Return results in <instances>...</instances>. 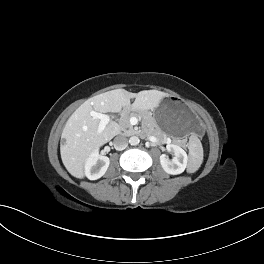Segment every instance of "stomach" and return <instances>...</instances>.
<instances>
[{
	"instance_id": "obj_1",
	"label": "stomach",
	"mask_w": 264,
	"mask_h": 264,
	"mask_svg": "<svg viewBox=\"0 0 264 264\" xmlns=\"http://www.w3.org/2000/svg\"><path fill=\"white\" fill-rule=\"evenodd\" d=\"M153 120L157 127L168 134L201 136L205 125L195 117L190 108L176 97L165 99L160 108L154 110Z\"/></svg>"
}]
</instances>
